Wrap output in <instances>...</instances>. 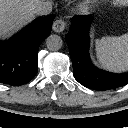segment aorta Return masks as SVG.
<instances>
[{"mask_svg":"<svg viewBox=\"0 0 128 128\" xmlns=\"http://www.w3.org/2000/svg\"><path fill=\"white\" fill-rule=\"evenodd\" d=\"M62 45V38L58 35L51 34L46 38V46L50 51H58Z\"/></svg>","mask_w":128,"mask_h":128,"instance_id":"aorta-1","label":"aorta"}]
</instances>
